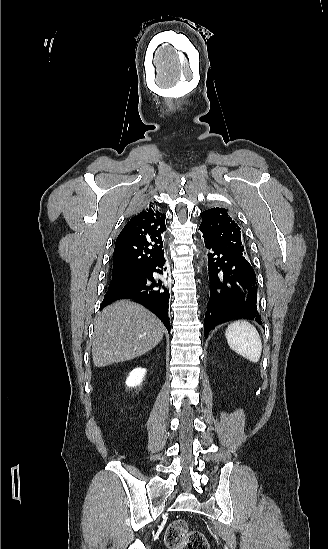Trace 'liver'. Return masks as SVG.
<instances>
[{"mask_svg": "<svg viewBox=\"0 0 328 549\" xmlns=\"http://www.w3.org/2000/svg\"><path fill=\"white\" fill-rule=\"evenodd\" d=\"M164 325L143 305L129 299L115 301L98 313L92 337L94 367L130 361L154 349L164 335Z\"/></svg>", "mask_w": 328, "mask_h": 549, "instance_id": "obj_1", "label": "liver"}]
</instances>
